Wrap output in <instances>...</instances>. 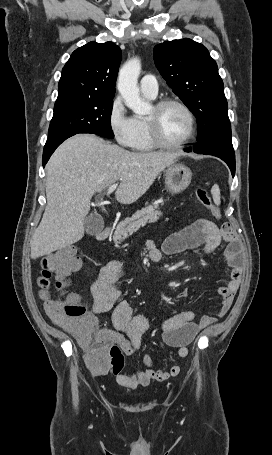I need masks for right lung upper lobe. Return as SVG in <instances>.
I'll return each mask as SVG.
<instances>
[{
	"instance_id": "cb5924a9",
	"label": "right lung upper lobe",
	"mask_w": 272,
	"mask_h": 455,
	"mask_svg": "<svg viewBox=\"0 0 272 455\" xmlns=\"http://www.w3.org/2000/svg\"><path fill=\"white\" fill-rule=\"evenodd\" d=\"M122 53L113 42L76 49L62 69L56 101L113 99Z\"/></svg>"
}]
</instances>
